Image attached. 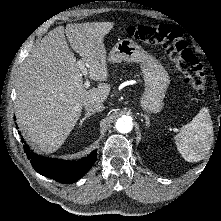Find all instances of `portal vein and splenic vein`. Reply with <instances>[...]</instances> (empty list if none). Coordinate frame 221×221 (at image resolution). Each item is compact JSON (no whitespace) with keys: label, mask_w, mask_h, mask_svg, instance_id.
I'll return each instance as SVG.
<instances>
[{"label":"portal vein and splenic vein","mask_w":221,"mask_h":221,"mask_svg":"<svg viewBox=\"0 0 221 221\" xmlns=\"http://www.w3.org/2000/svg\"><path fill=\"white\" fill-rule=\"evenodd\" d=\"M78 65H79V68H80L82 74L87 78L88 77V72H87V69L85 67L84 62L82 60H79ZM84 87L86 89H88L90 87V81L88 79H86V81L84 83Z\"/></svg>","instance_id":"portal-vein-and-splenic-vein-1"}]
</instances>
